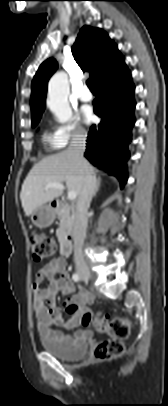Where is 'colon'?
<instances>
[{
	"label": "colon",
	"instance_id": "1",
	"mask_svg": "<svg viewBox=\"0 0 168 406\" xmlns=\"http://www.w3.org/2000/svg\"><path fill=\"white\" fill-rule=\"evenodd\" d=\"M29 246L34 261L42 262L51 257L55 251L54 241L41 233H33L29 236ZM73 314L72 308L67 309ZM82 323L91 325L100 333L108 335V338L97 343L93 351V358L104 361L120 357L124 351L123 340L130 332L127 319L122 317L106 318L98 313L85 312L81 316Z\"/></svg>",
	"mask_w": 168,
	"mask_h": 406
}]
</instances>
